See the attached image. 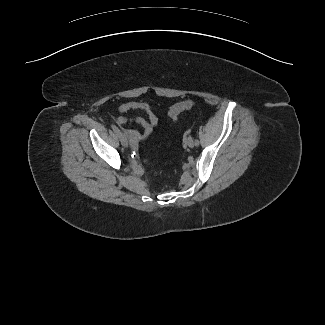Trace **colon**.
<instances>
[{
	"mask_svg": "<svg viewBox=\"0 0 325 325\" xmlns=\"http://www.w3.org/2000/svg\"><path fill=\"white\" fill-rule=\"evenodd\" d=\"M194 106V102L191 100H185L182 102H178L173 105L169 110V117L172 121L176 122L179 118V115L184 110L190 109Z\"/></svg>",
	"mask_w": 325,
	"mask_h": 325,
	"instance_id": "1",
	"label": "colon"
}]
</instances>
